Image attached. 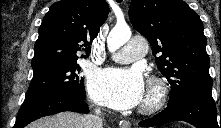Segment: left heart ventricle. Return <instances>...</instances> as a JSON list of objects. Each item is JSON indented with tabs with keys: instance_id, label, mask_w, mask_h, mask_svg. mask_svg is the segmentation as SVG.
Masks as SVG:
<instances>
[{
	"instance_id": "left-heart-ventricle-1",
	"label": "left heart ventricle",
	"mask_w": 221,
	"mask_h": 128,
	"mask_svg": "<svg viewBox=\"0 0 221 128\" xmlns=\"http://www.w3.org/2000/svg\"><path fill=\"white\" fill-rule=\"evenodd\" d=\"M146 97H147V90H146V92L144 93V97H143L142 102L146 99Z\"/></svg>"
}]
</instances>
